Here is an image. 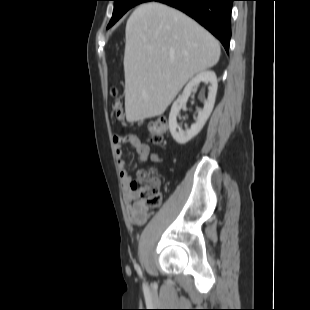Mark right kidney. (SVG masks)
<instances>
[{
	"label": "right kidney",
	"instance_id": "right-kidney-1",
	"mask_svg": "<svg viewBox=\"0 0 310 310\" xmlns=\"http://www.w3.org/2000/svg\"><path fill=\"white\" fill-rule=\"evenodd\" d=\"M201 82L210 83L207 100L204 103L203 109L198 112L196 123L192 124L190 128L183 130L177 124V116L181 108L186 105L187 99L191 95L194 88ZM217 86L218 84L215 72L211 70H205L193 77L185 86L182 94L176 99V101H174L169 114V129L173 139L178 144H186L202 130L213 110L217 93Z\"/></svg>",
	"mask_w": 310,
	"mask_h": 310
}]
</instances>
